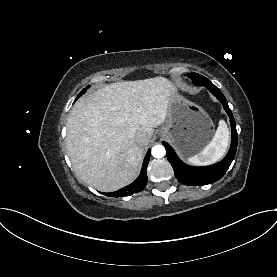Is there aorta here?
<instances>
[{"label":"aorta","instance_id":"aorta-1","mask_svg":"<svg viewBox=\"0 0 277 277\" xmlns=\"http://www.w3.org/2000/svg\"><path fill=\"white\" fill-rule=\"evenodd\" d=\"M165 154H166V150L162 145H155L152 148V156L155 158H162L165 156Z\"/></svg>","mask_w":277,"mask_h":277}]
</instances>
